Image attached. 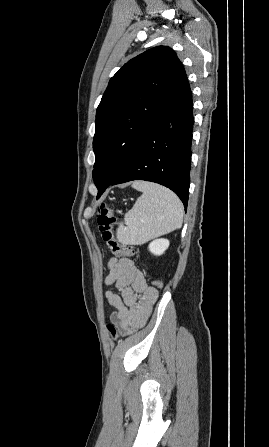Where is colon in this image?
<instances>
[{
	"label": "colon",
	"mask_w": 269,
	"mask_h": 447,
	"mask_svg": "<svg viewBox=\"0 0 269 447\" xmlns=\"http://www.w3.org/2000/svg\"><path fill=\"white\" fill-rule=\"evenodd\" d=\"M96 219L100 235L114 255L126 259H136L138 257V253L134 248L126 246L115 239L117 218L114 206L102 203L99 206ZM153 284L155 289L160 290L163 286V281L160 278H156L153 280ZM109 332L114 338L118 337L116 327L110 326Z\"/></svg>",
	"instance_id": "5ec220e1"
}]
</instances>
